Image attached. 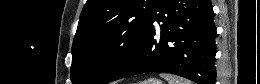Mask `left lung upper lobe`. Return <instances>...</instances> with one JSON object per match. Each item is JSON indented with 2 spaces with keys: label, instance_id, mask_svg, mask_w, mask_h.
<instances>
[{
  "label": "left lung upper lobe",
  "instance_id": "1",
  "mask_svg": "<svg viewBox=\"0 0 260 84\" xmlns=\"http://www.w3.org/2000/svg\"><path fill=\"white\" fill-rule=\"evenodd\" d=\"M156 0H87L72 45L73 84H107L135 52Z\"/></svg>",
  "mask_w": 260,
  "mask_h": 84
}]
</instances>
